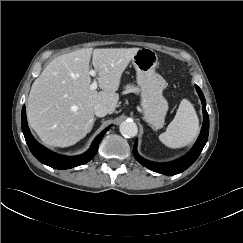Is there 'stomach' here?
Instances as JSON below:
<instances>
[{
	"mask_svg": "<svg viewBox=\"0 0 243 243\" xmlns=\"http://www.w3.org/2000/svg\"><path fill=\"white\" fill-rule=\"evenodd\" d=\"M132 64L136 70V80L141 92L144 119L152 128L160 129L164 125L168 103L162 95L166 82L155 71L158 56L150 48H141L134 55Z\"/></svg>",
	"mask_w": 243,
	"mask_h": 243,
	"instance_id": "stomach-1",
	"label": "stomach"
}]
</instances>
